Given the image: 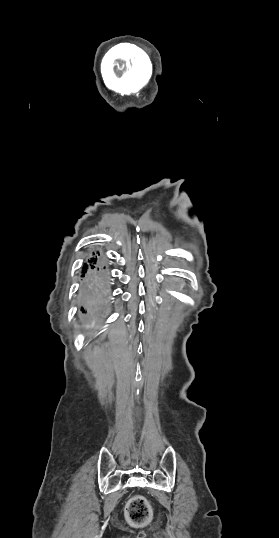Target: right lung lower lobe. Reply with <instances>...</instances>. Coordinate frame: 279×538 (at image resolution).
Returning <instances> with one entry per match:
<instances>
[{"instance_id":"98d812e1","label":"right lung lower lobe","mask_w":279,"mask_h":538,"mask_svg":"<svg viewBox=\"0 0 279 538\" xmlns=\"http://www.w3.org/2000/svg\"><path fill=\"white\" fill-rule=\"evenodd\" d=\"M81 277L80 318L95 325L102 321L111 306L112 280L104 254L93 252L83 265Z\"/></svg>"}]
</instances>
